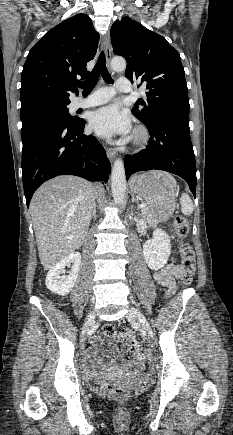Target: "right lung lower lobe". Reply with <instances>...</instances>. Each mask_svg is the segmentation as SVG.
Listing matches in <instances>:
<instances>
[{"label": "right lung lower lobe", "instance_id": "98d812e1", "mask_svg": "<svg viewBox=\"0 0 233 435\" xmlns=\"http://www.w3.org/2000/svg\"><path fill=\"white\" fill-rule=\"evenodd\" d=\"M85 121H49L21 131L22 177L26 203L45 181L58 175H76L89 181H107L111 164L93 136L83 134Z\"/></svg>", "mask_w": 233, "mask_h": 435}]
</instances>
